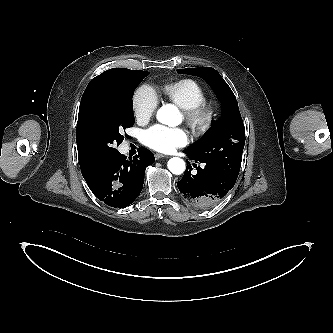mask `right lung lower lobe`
Returning <instances> with one entry per match:
<instances>
[{
  "label": "right lung lower lobe",
  "mask_w": 333,
  "mask_h": 333,
  "mask_svg": "<svg viewBox=\"0 0 333 333\" xmlns=\"http://www.w3.org/2000/svg\"><path fill=\"white\" fill-rule=\"evenodd\" d=\"M154 161L152 152L143 147L129 160L118 152L85 181L100 201L115 208L127 207L139 196L145 169Z\"/></svg>",
  "instance_id": "98d812e1"
}]
</instances>
